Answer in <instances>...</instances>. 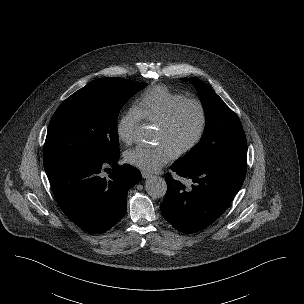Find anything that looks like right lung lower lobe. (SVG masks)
<instances>
[{
	"mask_svg": "<svg viewBox=\"0 0 304 304\" xmlns=\"http://www.w3.org/2000/svg\"><path fill=\"white\" fill-rule=\"evenodd\" d=\"M119 156L102 160L73 158L44 164L60 208L83 230L105 232L125 214L127 192L142 176L133 166L118 165ZM104 171L109 173L108 177Z\"/></svg>",
	"mask_w": 304,
	"mask_h": 304,
	"instance_id": "right-lung-lower-lobe-1",
	"label": "right lung lower lobe"
}]
</instances>
